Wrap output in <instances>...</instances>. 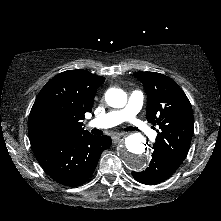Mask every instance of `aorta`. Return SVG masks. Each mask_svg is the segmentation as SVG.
Returning <instances> with one entry per match:
<instances>
[{"label": "aorta", "mask_w": 221, "mask_h": 221, "mask_svg": "<svg viewBox=\"0 0 221 221\" xmlns=\"http://www.w3.org/2000/svg\"><path fill=\"white\" fill-rule=\"evenodd\" d=\"M105 100L111 107L122 108L127 103V94L121 89L111 88L106 92ZM119 158L127 168L143 170L149 162L146 139L139 133L128 135L119 149Z\"/></svg>", "instance_id": "aorta-1"}]
</instances>
